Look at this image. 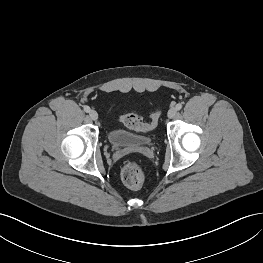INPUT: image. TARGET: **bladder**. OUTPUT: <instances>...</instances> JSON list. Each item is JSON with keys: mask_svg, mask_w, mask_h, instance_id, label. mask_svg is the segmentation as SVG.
<instances>
[{"mask_svg": "<svg viewBox=\"0 0 263 263\" xmlns=\"http://www.w3.org/2000/svg\"><path fill=\"white\" fill-rule=\"evenodd\" d=\"M106 137L108 142L117 148H137L150 143V137L121 127H110Z\"/></svg>", "mask_w": 263, "mask_h": 263, "instance_id": "31cf9c89", "label": "bladder"}]
</instances>
